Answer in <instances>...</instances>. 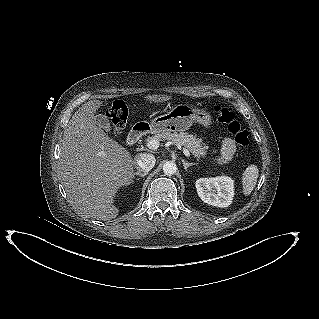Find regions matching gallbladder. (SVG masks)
Returning a JSON list of instances; mask_svg holds the SVG:
<instances>
[{
    "mask_svg": "<svg viewBox=\"0 0 319 319\" xmlns=\"http://www.w3.org/2000/svg\"><path fill=\"white\" fill-rule=\"evenodd\" d=\"M95 122L99 127L104 129L106 132L111 130V124L109 122V119L105 115H102V114L96 115Z\"/></svg>",
    "mask_w": 319,
    "mask_h": 319,
    "instance_id": "obj_1",
    "label": "gallbladder"
}]
</instances>
